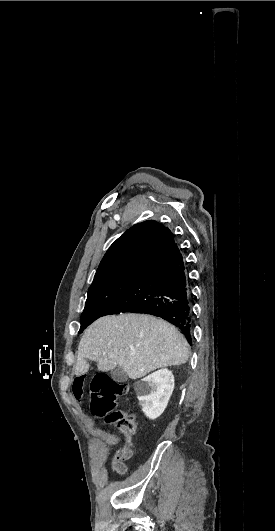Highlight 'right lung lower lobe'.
Here are the masks:
<instances>
[{"instance_id": "right-lung-lower-lobe-1", "label": "right lung lower lobe", "mask_w": 275, "mask_h": 531, "mask_svg": "<svg viewBox=\"0 0 275 531\" xmlns=\"http://www.w3.org/2000/svg\"><path fill=\"white\" fill-rule=\"evenodd\" d=\"M191 292L181 251L173 241L103 314L145 313L178 327L191 343Z\"/></svg>"}]
</instances>
